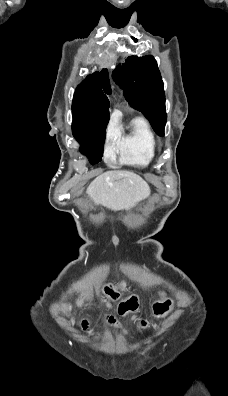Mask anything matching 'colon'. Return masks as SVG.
Wrapping results in <instances>:
<instances>
[{
	"label": "colon",
	"mask_w": 228,
	"mask_h": 396,
	"mask_svg": "<svg viewBox=\"0 0 228 396\" xmlns=\"http://www.w3.org/2000/svg\"><path fill=\"white\" fill-rule=\"evenodd\" d=\"M125 291V285L124 284H109L106 285L104 288V294L107 299L109 300H117L121 293ZM137 298L135 296H128L123 302L120 303L119 306V313L120 314H126L129 312H133L137 308ZM171 308V302L170 300L162 297L161 300L157 301L154 304V313L158 317H163L165 316ZM111 321V318H110Z\"/></svg>",
	"instance_id": "colon-1"
}]
</instances>
